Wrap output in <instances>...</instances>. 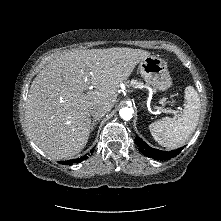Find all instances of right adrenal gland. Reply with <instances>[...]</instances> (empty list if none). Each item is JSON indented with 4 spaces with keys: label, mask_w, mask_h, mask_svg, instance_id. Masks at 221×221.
I'll return each mask as SVG.
<instances>
[{
    "label": "right adrenal gland",
    "mask_w": 221,
    "mask_h": 221,
    "mask_svg": "<svg viewBox=\"0 0 221 221\" xmlns=\"http://www.w3.org/2000/svg\"><path fill=\"white\" fill-rule=\"evenodd\" d=\"M99 118H95L93 119L92 123H91V127H90V131H93L94 126L97 124V122L99 121Z\"/></svg>",
    "instance_id": "obj_1"
}]
</instances>
